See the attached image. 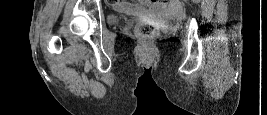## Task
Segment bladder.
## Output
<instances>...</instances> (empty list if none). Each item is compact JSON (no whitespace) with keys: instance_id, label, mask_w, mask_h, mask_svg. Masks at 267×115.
Segmentation results:
<instances>
[{"instance_id":"bladder-1","label":"bladder","mask_w":267,"mask_h":115,"mask_svg":"<svg viewBox=\"0 0 267 115\" xmlns=\"http://www.w3.org/2000/svg\"><path fill=\"white\" fill-rule=\"evenodd\" d=\"M121 18L117 17V16H112L110 18V23L113 24V25H117L121 22Z\"/></svg>"}]
</instances>
